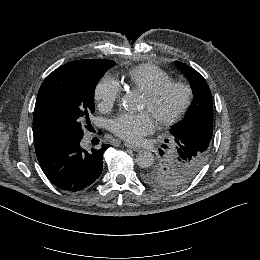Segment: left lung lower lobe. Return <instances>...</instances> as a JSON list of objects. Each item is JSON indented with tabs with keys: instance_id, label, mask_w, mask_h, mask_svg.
I'll use <instances>...</instances> for the list:
<instances>
[{
	"instance_id": "left-lung-lower-lobe-1",
	"label": "left lung lower lobe",
	"mask_w": 260,
	"mask_h": 260,
	"mask_svg": "<svg viewBox=\"0 0 260 260\" xmlns=\"http://www.w3.org/2000/svg\"><path fill=\"white\" fill-rule=\"evenodd\" d=\"M204 112H205V113L203 114V115H204V118L198 119L197 122H196V124L202 125L207 118H210V117H211V116H210L211 113H209L208 111H204ZM208 114H209V115H208ZM212 124H213V122H212ZM209 125H211V123H206V124H205V127H208Z\"/></svg>"
}]
</instances>
